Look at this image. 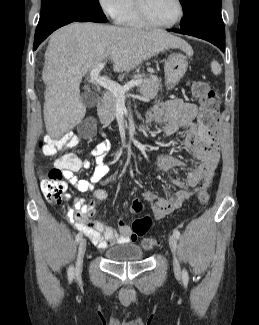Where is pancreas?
<instances>
[{
	"instance_id": "1",
	"label": "pancreas",
	"mask_w": 259,
	"mask_h": 325,
	"mask_svg": "<svg viewBox=\"0 0 259 325\" xmlns=\"http://www.w3.org/2000/svg\"><path fill=\"white\" fill-rule=\"evenodd\" d=\"M142 83L139 85V92L144 98H154L160 90V81L155 75L139 76ZM117 97L114 93L108 91L105 93L101 107L97 110V115L102 124H110L116 116Z\"/></svg>"
}]
</instances>
